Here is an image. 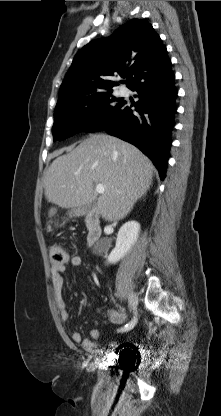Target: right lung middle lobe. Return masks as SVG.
<instances>
[{"mask_svg":"<svg viewBox=\"0 0 221 416\" xmlns=\"http://www.w3.org/2000/svg\"><path fill=\"white\" fill-rule=\"evenodd\" d=\"M123 99L112 95V90L78 100L58 104L54 113V141L64 140L78 132H95L108 123Z\"/></svg>","mask_w":221,"mask_h":416,"instance_id":"right-lung-middle-lobe-1","label":"right lung middle lobe"}]
</instances>
